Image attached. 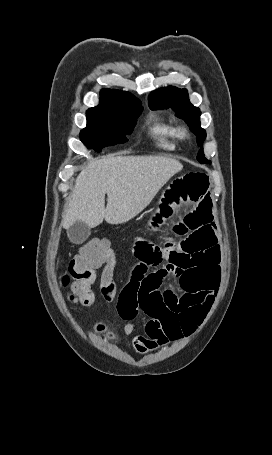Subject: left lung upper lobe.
I'll return each instance as SVG.
<instances>
[{
  "label": "left lung upper lobe",
  "mask_w": 272,
  "mask_h": 455,
  "mask_svg": "<svg viewBox=\"0 0 272 455\" xmlns=\"http://www.w3.org/2000/svg\"><path fill=\"white\" fill-rule=\"evenodd\" d=\"M149 107L152 110L171 108L176 116L183 119L190 130L197 136L198 146H202L206 138V132L200 127V109L193 106L188 97L186 89H179L173 86L160 88L149 96ZM197 160L200 163H207L203 149L198 153Z\"/></svg>",
  "instance_id": "5c2ea615"
}]
</instances>
